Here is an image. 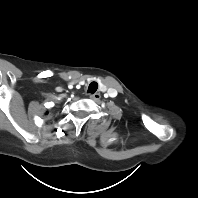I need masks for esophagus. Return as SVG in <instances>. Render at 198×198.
<instances>
[{
    "mask_svg": "<svg viewBox=\"0 0 198 198\" xmlns=\"http://www.w3.org/2000/svg\"><path fill=\"white\" fill-rule=\"evenodd\" d=\"M90 98L94 101H99L101 98V95L99 93H94L90 95Z\"/></svg>",
    "mask_w": 198,
    "mask_h": 198,
    "instance_id": "esophagus-1",
    "label": "esophagus"
}]
</instances>
